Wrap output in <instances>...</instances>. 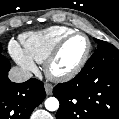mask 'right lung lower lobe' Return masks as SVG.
Here are the masks:
<instances>
[{
    "label": "right lung lower lobe",
    "mask_w": 119,
    "mask_h": 119,
    "mask_svg": "<svg viewBox=\"0 0 119 119\" xmlns=\"http://www.w3.org/2000/svg\"><path fill=\"white\" fill-rule=\"evenodd\" d=\"M10 67V62L0 55V119H29L46 97L44 85L35 78L24 83L11 82Z\"/></svg>",
    "instance_id": "1"
}]
</instances>
